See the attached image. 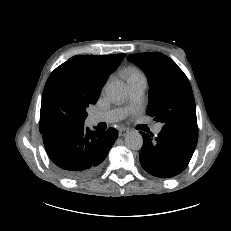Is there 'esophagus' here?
<instances>
[{"label": "esophagus", "mask_w": 231, "mask_h": 231, "mask_svg": "<svg viewBox=\"0 0 231 231\" xmlns=\"http://www.w3.org/2000/svg\"><path fill=\"white\" fill-rule=\"evenodd\" d=\"M129 132V130L127 128H121L119 129V136L123 137L125 136L127 133Z\"/></svg>", "instance_id": "34e87169"}]
</instances>
